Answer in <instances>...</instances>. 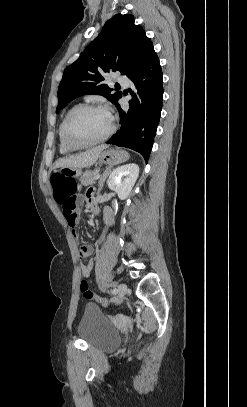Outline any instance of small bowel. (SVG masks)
Here are the masks:
<instances>
[{"instance_id":"c3829d8e","label":"small bowel","mask_w":247,"mask_h":407,"mask_svg":"<svg viewBox=\"0 0 247 407\" xmlns=\"http://www.w3.org/2000/svg\"><path fill=\"white\" fill-rule=\"evenodd\" d=\"M84 199L87 200L90 205H94L93 194L91 191L87 192L85 196L74 195L66 202L60 203L63 216L65 217L67 224L75 238L77 237V224L79 221L80 206ZM104 219L108 225H112L114 222L113 213L108 208L104 210ZM91 253L92 248L90 245H82L79 249V258L81 261L80 271L83 277H88L93 268V262L91 260L86 262V259L91 255Z\"/></svg>"}]
</instances>
